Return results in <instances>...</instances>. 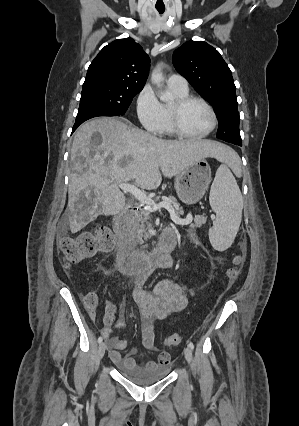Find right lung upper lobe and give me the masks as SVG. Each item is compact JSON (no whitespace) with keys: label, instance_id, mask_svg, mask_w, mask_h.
Wrapping results in <instances>:
<instances>
[{"label":"right lung upper lobe","instance_id":"1","mask_svg":"<svg viewBox=\"0 0 299 426\" xmlns=\"http://www.w3.org/2000/svg\"><path fill=\"white\" fill-rule=\"evenodd\" d=\"M150 60L132 38L118 39L105 46L90 64L83 85L104 83L129 89H143Z\"/></svg>","mask_w":299,"mask_h":426}]
</instances>
